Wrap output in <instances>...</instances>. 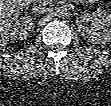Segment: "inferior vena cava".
<instances>
[{
	"mask_svg": "<svg viewBox=\"0 0 111 106\" xmlns=\"http://www.w3.org/2000/svg\"><path fill=\"white\" fill-rule=\"evenodd\" d=\"M46 4L47 1L37 0L33 2L32 11L35 13H44L47 11Z\"/></svg>",
	"mask_w": 111,
	"mask_h": 106,
	"instance_id": "obj_1",
	"label": "inferior vena cava"
}]
</instances>
